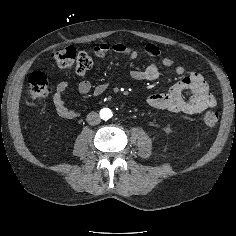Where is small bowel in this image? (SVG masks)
<instances>
[{
    "instance_id": "1",
    "label": "small bowel",
    "mask_w": 236,
    "mask_h": 236,
    "mask_svg": "<svg viewBox=\"0 0 236 236\" xmlns=\"http://www.w3.org/2000/svg\"><path fill=\"white\" fill-rule=\"evenodd\" d=\"M145 52L153 58L145 69H131L130 76L138 81H154L160 75V65L164 67H173L175 73L180 76L168 92L152 94L146 98V104L154 109L166 110L175 114H199L208 108L216 105L215 97L210 93L209 86L204 77L197 72L186 74L185 67L175 62L169 57H162L159 48L153 43L144 45ZM116 52L128 56L131 60L138 57V52L123 44L101 42L94 48L96 57L103 59L109 52ZM69 84L61 81L57 84L56 92L53 96V102L58 115L62 118L72 119L79 115L76 108L68 107L63 94L68 89ZM107 89V84H100L93 89L95 95L102 94ZM78 91L81 94H88L92 91V84L88 80H82L78 84ZM185 91L192 93L191 97L186 99L183 96Z\"/></svg>"
}]
</instances>
